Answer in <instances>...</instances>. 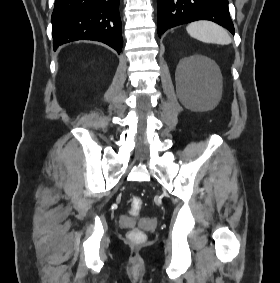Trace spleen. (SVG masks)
I'll list each match as a JSON object with an SVG mask.
<instances>
[{
	"label": "spleen",
	"mask_w": 280,
	"mask_h": 283,
	"mask_svg": "<svg viewBox=\"0 0 280 283\" xmlns=\"http://www.w3.org/2000/svg\"><path fill=\"white\" fill-rule=\"evenodd\" d=\"M186 30L191 37L205 43L228 45L232 42L228 32L211 21L192 22Z\"/></svg>",
	"instance_id": "3e777b00"
}]
</instances>
